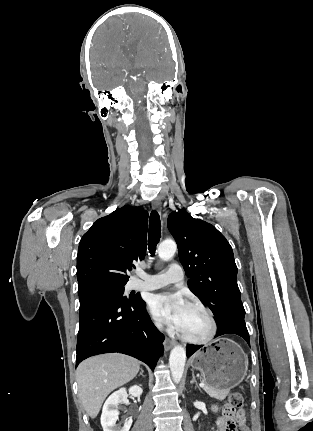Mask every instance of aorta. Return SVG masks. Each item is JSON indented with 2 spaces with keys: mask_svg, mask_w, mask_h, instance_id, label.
<instances>
[{
  "mask_svg": "<svg viewBox=\"0 0 313 431\" xmlns=\"http://www.w3.org/2000/svg\"><path fill=\"white\" fill-rule=\"evenodd\" d=\"M177 250L173 240H165L158 247V255L161 260H170ZM186 362V350L182 346H175L170 353L169 367L175 383H179L184 372Z\"/></svg>",
  "mask_w": 313,
  "mask_h": 431,
  "instance_id": "obj_1",
  "label": "aorta"
}]
</instances>
